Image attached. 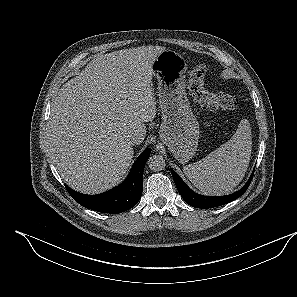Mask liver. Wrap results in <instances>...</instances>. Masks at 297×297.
I'll return each instance as SVG.
<instances>
[{"label":"liver","instance_id":"6515ba94","mask_svg":"<svg viewBox=\"0 0 297 297\" xmlns=\"http://www.w3.org/2000/svg\"><path fill=\"white\" fill-rule=\"evenodd\" d=\"M161 46L123 49L91 60L54 98L49 150L72 189L97 194L116 185L130 166V134L146 135L156 115L152 64ZM140 144V143H139Z\"/></svg>","mask_w":297,"mask_h":297}]
</instances>
